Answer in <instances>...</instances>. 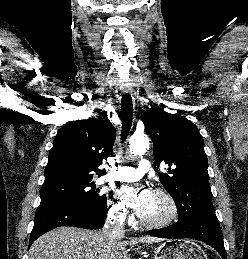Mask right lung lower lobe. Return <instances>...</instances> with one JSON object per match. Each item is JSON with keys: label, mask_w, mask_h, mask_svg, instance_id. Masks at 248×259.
Segmentation results:
<instances>
[{"label": "right lung lower lobe", "mask_w": 248, "mask_h": 259, "mask_svg": "<svg viewBox=\"0 0 248 259\" xmlns=\"http://www.w3.org/2000/svg\"><path fill=\"white\" fill-rule=\"evenodd\" d=\"M107 207L96 209L62 200L41 201L36 210L30 244L44 233L61 226L99 229L105 223Z\"/></svg>", "instance_id": "98d812e1"}]
</instances>
